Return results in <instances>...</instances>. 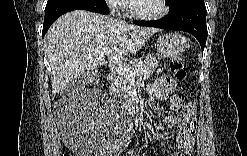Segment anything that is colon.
<instances>
[{"label":"colon","mask_w":247,"mask_h":156,"mask_svg":"<svg viewBox=\"0 0 247 156\" xmlns=\"http://www.w3.org/2000/svg\"><path fill=\"white\" fill-rule=\"evenodd\" d=\"M170 71L175 79L183 84L187 82V71L181 58H175L170 63ZM100 82L99 77H94L90 80V85H96Z\"/></svg>","instance_id":"obj_1"}]
</instances>
